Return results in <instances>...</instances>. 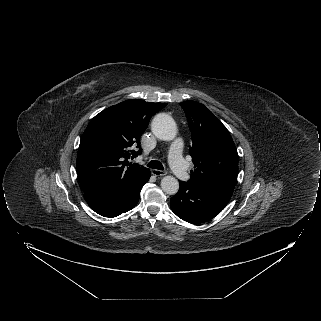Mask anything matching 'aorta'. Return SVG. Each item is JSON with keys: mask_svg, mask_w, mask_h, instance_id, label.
<instances>
[{"mask_svg": "<svg viewBox=\"0 0 321 321\" xmlns=\"http://www.w3.org/2000/svg\"><path fill=\"white\" fill-rule=\"evenodd\" d=\"M153 134L164 141H171L177 134V126L174 119L165 113L157 114L151 123ZM162 190L170 195L176 194L179 190V182L173 176H165L161 180Z\"/></svg>", "mask_w": 321, "mask_h": 321, "instance_id": "762f6f07", "label": "aorta"}]
</instances>
